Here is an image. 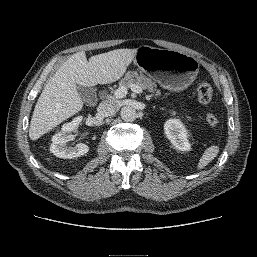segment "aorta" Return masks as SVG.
Returning a JSON list of instances; mask_svg holds the SVG:
<instances>
[{
    "mask_svg": "<svg viewBox=\"0 0 257 257\" xmlns=\"http://www.w3.org/2000/svg\"><path fill=\"white\" fill-rule=\"evenodd\" d=\"M121 118L126 122H132L136 119V110L131 106H125L120 111Z\"/></svg>",
    "mask_w": 257,
    "mask_h": 257,
    "instance_id": "aorta-1",
    "label": "aorta"
}]
</instances>
